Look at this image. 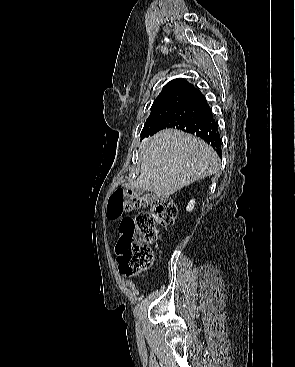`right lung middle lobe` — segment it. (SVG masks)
Wrapping results in <instances>:
<instances>
[{
  "label": "right lung middle lobe",
  "mask_w": 295,
  "mask_h": 367,
  "mask_svg": "<svg viewBox=\"0 0 295 367\" xmlns=\"http://www.w3.org/2000/svg\"><path fill=\"white\" fill-rule=\"evenodd\" d=\"M194 93L191 89H170L162 91L153 102L151 114L145 122L141 137L147 136L187 98Z\"/></svg>",
  "instance_id": "right-lung-middle-lobe-1"
}]
</instances>
